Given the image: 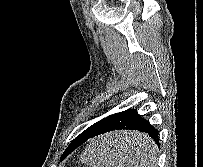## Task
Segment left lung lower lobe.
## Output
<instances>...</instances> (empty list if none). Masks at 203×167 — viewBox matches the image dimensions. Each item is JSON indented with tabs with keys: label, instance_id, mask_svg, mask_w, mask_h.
Here are the masks:
<instances>
[{
	"label": "left lung lower lobe",
	"instance_id": "0a47b994",
	"mask_svg": "<svg viewBox=\"0 0 203 167\" xmlns=\"http://www.w3.org/2000/svg\"><path fill=\"white\" fill-rule=\"evenodd\" d=\"M115 130H137L140 132H144L148 134L159 146L158 130L154 126H152L149 123V121H147L141 115H139L135 109H128L126 111L118 112L106 117L92 133L77 136L75 140L68 146L63 157H66L67 155H69L73 149H76L77 147H79L89 138H93L95 136H98L107 132L115 131ZM106 136H101V137H106ZM109 148L114 150L118 148L128 149V150L130 149V150H134L136 154L143 153V150H146L145 146H139L136 143H130V142H125V143L112 142L111 144H109Z\"/></svg>",
	"mask_w": 203,
	"mask_h": 167
}]
</instances>
